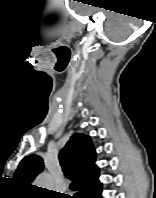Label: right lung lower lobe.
Instances as JSON below:
<instances>
[{"instance_id":"1","label":"right lung lower lobe","mask_w":156,"mask_h":198,"mask_svg":"<svg viewBox=\"0 0 156 198\" xmlns=\"http://www.w3.org/2000/svg\"><path fill=\"white\" fill-rule=\"evenodd\" d=\"M90 198H103L102 197V189H100L98 192H96L93 196Z\"/></svg>"}]
</instances>
